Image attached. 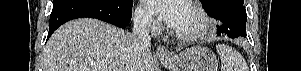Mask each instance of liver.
<instances>
[{
    "label": "liver",
    "mask_w": 301,
    "mask_h": 71,
    "mask_svg": "<svg viewBox=\"0 0 301 71\" xmlns=\"http://www.w3.org/2000/svg\"><path fill=\"white\" fill-rule=\"evenodd\" d=\"M43 71H154V56L134 34L80 18L52 34L44 49Z\"/></svg>",
    "instance_id": "6515ba94"
}]
</instances>
